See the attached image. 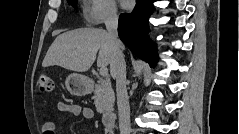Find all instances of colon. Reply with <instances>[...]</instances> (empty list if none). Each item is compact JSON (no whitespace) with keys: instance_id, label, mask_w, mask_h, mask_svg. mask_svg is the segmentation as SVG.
<instances>
[{"instance_id":"1","label":"colon","mask_w":239,"mask_h":134,"mask_svg":"<svg viewBox=\"0 0 239 134\" xmlns=\"http://www.w3.org/2000/svg\"><path fill=\"white\" fill-rule=\"evenodd\" d=\"M54 83L51 76L47 74H40L38 77V89L40 92L46 93L53 90Z\"/></svg>"}]
</instances>
